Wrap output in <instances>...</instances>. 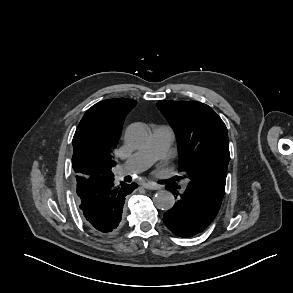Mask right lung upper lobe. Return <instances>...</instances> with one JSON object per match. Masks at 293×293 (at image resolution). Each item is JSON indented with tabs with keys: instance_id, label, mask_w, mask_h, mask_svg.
Masks as SVG:
<instances>
[{
	"instance_id": "1",
	"label": "right lung upper lobe",
	"mask_w": 293,
	"mask_h": 293,
	"mask_svg": "<svg viewBox=\"0 0 293 293\" xmlns=\"http://www.w3.org/2000/svg\"><path fill=\"white\" fill-rule=\"evenodd\" d=\"M127 98L98 102L87 110L73 137L76 177H114L113 154L126 114L136 105Z\"/></svg>"
}]
</instances>
